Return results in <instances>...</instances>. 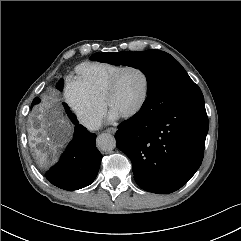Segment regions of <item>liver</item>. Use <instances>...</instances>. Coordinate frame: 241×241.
<instances>
[{
	"mask_svg": "<svg viewBox=\"0 0 241 241\" xmlns=\"http://www.w3.org/2000/svg\"><path fill=\"white\" fill-rule=\"evenodd\" d=\"M45 108L48 110L50 108V105H46ZM51 114L54 116V119L52 121H46L45 120V115L41 114L39 119L42 121L41 123V128L35 129L31 128L30 133L31 136L29 138L30 140V145L34 148L35 154L40 160V163H44L46 160V154L43 153L41 149L36 148V144L40 143L42 141L41 138H37L36 135L38 133H42L44 137L47 136L46 129L49 126H52V132L51 134L53 135V140L51 142V148L55 149L58 146H61L64 144L67 140L68 137L70 136L72 132V126L65 121L63 118L59 116V113L56 110H51Z\"/></svg>",
	"mask_w": 241,
	"mask_h": 241,
	"instance_id": "obj_1",
	"label": "liver"
}]
</instances>
